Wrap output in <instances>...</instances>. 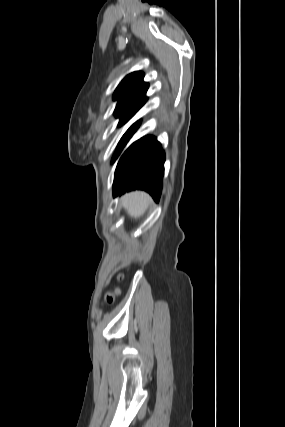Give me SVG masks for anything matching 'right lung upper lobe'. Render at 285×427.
<instances>
[{"mask_svg":"<svg viewBox=\"0 0 285 427\" xmlns=\"http://www.w3.org/2000/svg\"><path fill=\"white\" fill-rule=\"evenodd\" d=\"M144 73L133 72L118 85L113 99L118 100L115 115L135 114L147 101L148 83L143 81Z\"/></svg>","mask_w":285,"mask_h":427,"instance_id":"1","label":"right lung upper lobe"}]
</instances>
